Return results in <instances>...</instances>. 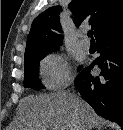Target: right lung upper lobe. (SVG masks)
<instances>
[{"label": "right lung upper lobe", "mask_w": 123, "mask_h": 130, "mask_svg": "<svg viewBox=\"0 0 123 130\" xmlns=\"http://www.w3.org/2000/svg\"><path fill=\"white\" fill-rule=\"evenodd\" d=\"M69 8L75 16V25L78 27L84 20H89L96 38L123 24L122 0H72ZM60 11V6H53L34 19L27 38L25 57L50 53L60 46L63 38L58 17Z\"/></svg>", "instance_id": "cb5924a9"}]
</instances>
